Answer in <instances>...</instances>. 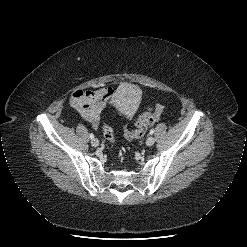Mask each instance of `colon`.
I'll return each instance as SVG.
<instances>
[{"label":"colon","mask_w":247,"mask_h":247,"mask_svg":"<svg viewBox=\"0 0 247 247\" xmlns=\"http://www.w3.org/2000/svg\"><path fill=\"white\" fill-rule=\"evenodd\" d=\"M159 109L160 106L158 104L148 107L139 117L134 130L124 129L125 137L129 140L141 138L146 133L148 127L154 124L158 119ZM103 134L109 142H114V132L109 125L103 127Z\"/></svg>","instance_id":"colon-1"}]
</instances>
